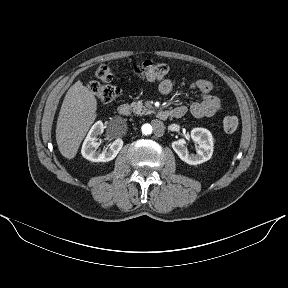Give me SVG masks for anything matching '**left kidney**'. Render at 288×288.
<instances>
[{"label":"left kidney","mask_w":288,"mask_h":288,"mask_svg":"<svg viewBox=\"0 0 288 288\" xmlns=\"http://www.w3.org/2000/svg\"><path fill=\"white\" fill-rule=\"evenodd\" d=\"M191 138L199 146L196 154H190L186 148V140L179 139L172 143V148L179 158L189 165H197L208 161L213 154V137L209 130L205 128H194L191 130Z\"/></svg>","instance_id":"5707ae66"}]
</instances>
